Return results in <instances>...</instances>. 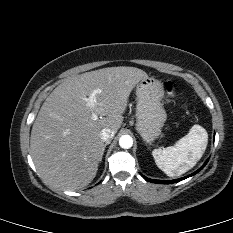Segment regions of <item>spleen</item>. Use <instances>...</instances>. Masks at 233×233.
I'll use <instances>...</instances> for the list:
<instances>
[{
  "instance_id": "spleen-1",
  "label": "spleen",
  "mask_w": 233,
  "mask_h": 233,
  "mask_svg": "<svg viewBox=\"0 0 233 233\" xmlns=\"http://www.w3.org/2000/svg\"><path fill=\"white\" fill-rule=\"evenodd\" d=\"M207 142L206 130L200 125H194L174 146L154 149L152 155L158 168L167 176H180L193 168L201 159Z\"/></svg>"
}]
</instances>
